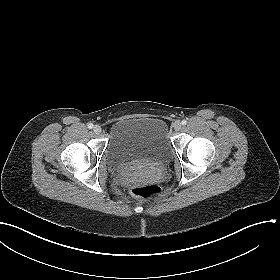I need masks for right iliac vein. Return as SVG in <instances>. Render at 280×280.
<instances>
[{"label":"right iliac vein","instance_id":"right-iliac-vein-1","mask_svg":"<svg viewBox=\"0 0 280 280\" xmlns=\"http://www.w3.org/2000/svg\"><path fill=\"white\" fill-rule=\"evenodd\" d=\"M93 131H94V133H96V134H100L101 131H102V128H101V126H99V125H95V126L93 127Z\"/></svg>","mask_w":280,"mask_h":280}]
</instances>
